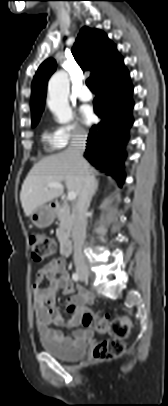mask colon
<instances>
[{
	"label": "colon",
	"mask_w": 168,
	"mask_h": 406,
	"mask_svg": "<svg viewBox=\"0 0 168 406\" xmlns=\"http://www.w3.org/2000/svg\"><path fill=\"white\" fill-rule=\"evenodd\" d=\"M29 247L32 259L42 262L52 256L55 250L54 242L40 233L29 236ZM73 312V309L69 308ZM82 323L92 325L100 333L107 334V339L99 341L93 348L91 357L95 361H107L120 357L124 352L123 340L128 336L130 323L126 317L117 316L106 318L99 314L84 312Z\"/></svg>",
	"instance_id": "5ec220e1"
}]
</instances>
